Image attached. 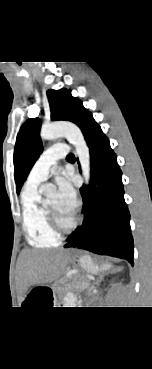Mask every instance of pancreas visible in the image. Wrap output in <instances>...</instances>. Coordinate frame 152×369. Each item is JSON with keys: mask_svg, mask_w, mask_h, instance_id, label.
Returning <instances> with one entry per match:
<instances>
[{"mask_svg": "<svg viewBox=\"0 0 152 369\" xmlns=\"http://www.w3.org/2000/svg\"><path fill=\"white\" fill-rule=\"evenodd\" d=\"M89 287V282L84 278H79L74 285L75 290H85Z\"/></svg>", "mask_w": 152, "mask_h": 369, "instance_id": "cf45deb5", "label": "pancreas"}]
</instances>
